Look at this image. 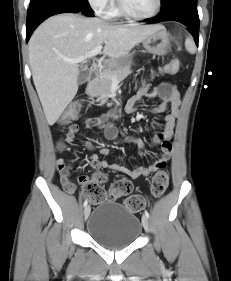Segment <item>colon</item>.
Returning a JSON list of instances; mask_svg holds the SVG:
<instances>
[{"label":"colon","instance_id":"colon-1","mask_svg":"<svg viewBox=\"0 0 231 281\" xmlns=\"http://www.w3.org/2000/svg\"><path fill=\"white\" fill-rule=\"evenodd\" d=\"M180 62L178 59H172L170 62L160 67L158 70L152 71L150 74L141 79L138 84V91L149 84V82L158 75L162 74H175L179 71ZM80 111V105L78 103H72L66 109L62 122L67 123L74 119ZM62 148V145L59 146ZM104 176L101 173L94 175L93 179L90 180L84 186V193L89 197L91 203L97 204L105 199L109 198L115 200L129 194L133 185L131 181L127 179H120L116 181L106 191L103 188ZM169 174L166 170H159L152 178L150 185V196L158 198L164 194L168 187ZM147 203V198L142 195H131L125 200V206L132 212H139L142 210L144 205Z\"/></svg>","mask_w":231,"mask_h":281}]
</instances>
